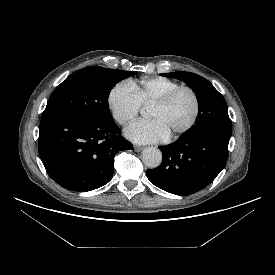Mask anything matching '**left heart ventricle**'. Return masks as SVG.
<instances>
[{"label": "left heart ventricle", "instance_id": "b2bd125f", "mask_svg": "<svg viewBox=\"0 0 275 275\" xmlns=\"http://www.w3.org/2000/svg\"><path fill=\"white\" fill-rule=\"evenodd\" d=\"M194 112V102L191 94L181 91L165 108L153 106L150 118L160 121L171 135L183 128Z\"/></svg>", "mask_w": 275, "mask_h": 275}]
</instances>
